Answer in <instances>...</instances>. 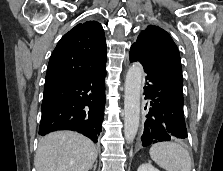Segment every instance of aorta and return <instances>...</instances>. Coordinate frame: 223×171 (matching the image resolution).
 I'll return each mask as SVG.
<instances>
[{
	"instance_id": "aorta-1",
	"label": "aorta",
	"mask_w": 223,
	"mask_h": 171,
	"mask_svg": "<svg viewBox=\"0 0 223 171\" xmlns=\"http://www.w3.org/2000/svg\"><path fill=\"white\" fill-rule=\"evenodd\" d=\"M143 77V67L133 64L126 75L124 93V136L128 143L137 134L140 120V94Z\"/></svg>"
}]
</instances>
